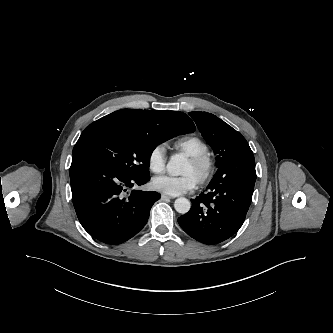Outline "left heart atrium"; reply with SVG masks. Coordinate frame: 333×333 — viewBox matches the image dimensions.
Masks as SVG:
<instances>
[{"label":"left heart atrium","mask_w":333,"mask_h":333,"mask_svg":"<svg viewBox=\"0 0 333 333\" xmlns=\"http://www.w3.org/2000/svg\"><path fill=\"white\" fill-rule=\"evenodd\" d=\"M197 185V180L190 174L181 176H159L152 180V187L163 194L178 196L192 191Z\"/></svg>","instance_id":"obj_1"}]
</instances>
